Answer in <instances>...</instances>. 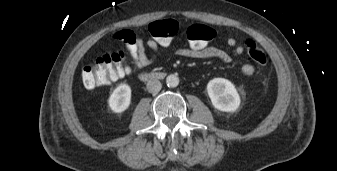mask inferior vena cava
<instances>
[{
  "label": "inferior vena cava",
  "mask_w": 337,
  "mask_h": 171,
  "mask_svg": "<svg viewBox=\"0 0 337 171\" xmlns=\"http://www.w3.org/2000/svg\"><path fill=\"white\" fill-rule=\"evenodd\" d=\"M161 88H162V84L157 79H151L147 82V90L150 93H157L161 90Z\"/></svg>",
  "instance_id": "1"
}]
</instances>
